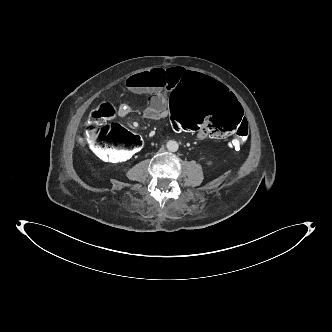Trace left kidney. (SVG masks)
I'll return each mask as SVG.
<instances>
[{
    "instance_id": "5707ae66",
    "label": "left kidney",
    "mask_w": 332,
    "mask_h": 332,
    "mask_svg": "<svg viewBox=\"0 0 332 332\" xmlns=\"http://www.w3.org/2000/svg\"><path fill=\"white\" fill-rule=\"evenodd\" d=\"M207 164H208V165H212L213 162H212V161H208Z\"/></svg>"
}]
</instances>
